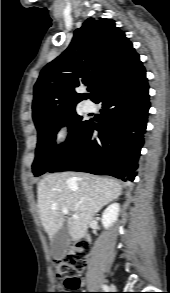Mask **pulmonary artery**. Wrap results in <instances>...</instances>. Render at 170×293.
Masks as SVG:
<instances>
[{
  "label": "pulmonary artery",
  "instance_id": "obj_1",
  "mask_svg": "<svg viewBox=\"0 0 170 293\" xmlns=\"http://www.w3.org/2000/svg\"><path fill=\"white\" fill-rule=\"evenodd\" d=\"M84 110L86 112H90L93 110V104L91 102H86L84 105Z\"/></svg>",
  "mask_w": 170,
  "mask_h": 293
}]
</instances>
